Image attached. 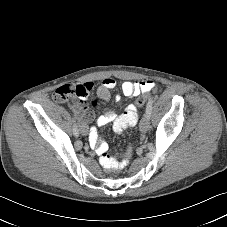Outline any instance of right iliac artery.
Listing matches in <instances>:
<instances>
[{
	"mask_svg": "<svg viewBox=\"0 0 227 227\" xmlns=\"http://www.w3.org/2000/svg\"><path fill=\"white\" fill-rule=\"evenodd\" d=\"M73 134H74L75 136H78V135H79L78 128H77L76 125L73 126Z\"/></svg>",
	"mask_w": 227,
	"mask_h": 227,
	"instance_id": "right-iliac-artery-1",
	"label": "right iliac artery"
}]
</instances>
